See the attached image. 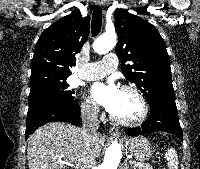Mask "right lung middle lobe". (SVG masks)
<instances>
[{"label":"right lung middle lobe","mask_w":200,"mask_h":169,"mask_svg":"<svg viewBox=\"0 0 200 169\" xmlns=\"http://www.w3.org/2000/svg\"><path fill=\"white\" fill-rule=\"evenodd\" d=\"M74 93V89L69 88L66 79L41 82L31 86L29 108L40 105L70 107L77 102Z\"/></svg>","instance_id":"right-lung-middle-lobe-1"}]
</instances>
